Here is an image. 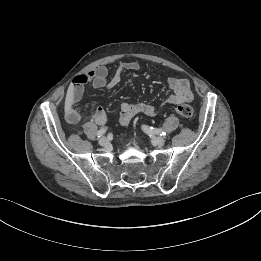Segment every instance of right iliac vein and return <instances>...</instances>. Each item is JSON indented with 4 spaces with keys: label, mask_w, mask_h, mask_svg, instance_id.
<instances>
[{
    "label": "right iliac vein",
    "mask_w": 261,
    "mask_h": 261,
    "mask_svg": "<svg viewBox=\"0 0 261 261\" xmlns=\"http://www.w3.org/2000/svg\"><path fill=\"white\" fill-rule=\"evenodd\" d=\"M108 139L106 137H102L100 140H99V144L103 147H106L108 145Z\"/></svg>",
    "instance_id": "right-iliac-vein-1"
}]
</instances>
